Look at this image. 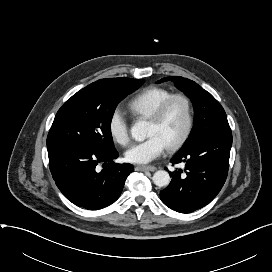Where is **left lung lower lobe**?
Here are the masks:
<instances>
[{
    "label": "left lung lower lobe",
    "mask_w": 272,
    "mask_h": 272,
    "mask_svg": "<svg viewBox=\"0 0 272 272\" xmlns=\"http://www.w3.org/2000/svg\"><path fill=\"white\" fill-rule=\"evenodd\" d=\"M231 145L232 135H224L180 150L171 162L185 163V174L181 169L169 172L172 180L160 192L162 202L180 213L193 212L211 202L225 183Z\"/></svg>",
    "instance_id": "1"
}]
</instances>
